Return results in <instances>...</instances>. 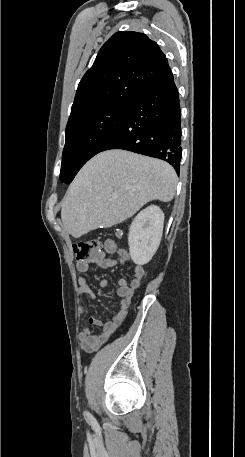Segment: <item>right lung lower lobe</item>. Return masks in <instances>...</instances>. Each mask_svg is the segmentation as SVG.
<instances>
[{
    "mask_svg": "<svg viewBox=\"0 0 245 457\" xmlns=\"http://www.w3.org/2000/svg\"><path fill=\"white\" fill-rule=\"evenodd\" d=\"M109 149H124L165 160L179 174L181 110L173 76L148 87L133 101L100 152Z\"/></svg>",
    "mask_w": 245,
    "mask_h": 457,
    "instance_id": "98d812e1",
    "label": "right lung lower lobe"
}]
</instances>
